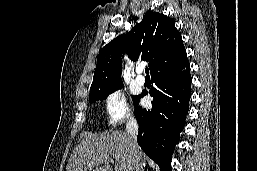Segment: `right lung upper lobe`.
<instances>
[{"mask_svg":"<svg viewBox=\"0 0 257 171\" xmlns=\"http://www.w3.org/2000/svg\"><path fill=\"white\" fill-rule=\"evenodd\" d=\"M132 61H149L151 76L156 72L178 65L187 58L182 37L174 21L164 14L147 12L142 21L130 32L106 44L97 58L90 92L122 84V52Z\"/></svg>","mask_w":257,"mask_h":171,"instance_id":"obj_1","label":"right lung upper lobe"}]
</instances>
